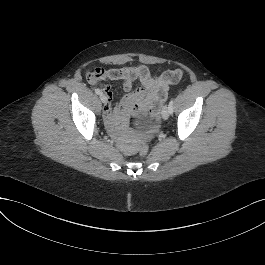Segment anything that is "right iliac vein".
<instances>
[{"mask_svg": "<svg viewBox=\"0 0 265 265\" xmlns=\"http://www.w3.org/2000/svg\"><path fill=\"white\" fill-rule=\"evenodd\" d=\"M100 99H101V101H102L103 103H106V102H107V98H106V96H105L104 94H101V95H100Z\"/></svg>", "mask_w": 265, "mask_h": 265, "instance_id": "right-iliac-vein-1", "label": "right iliac vein"}]
</instances>
